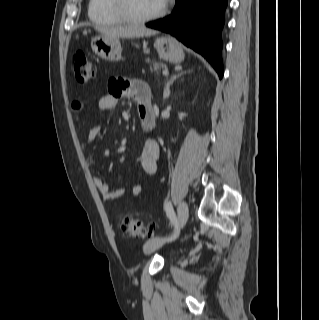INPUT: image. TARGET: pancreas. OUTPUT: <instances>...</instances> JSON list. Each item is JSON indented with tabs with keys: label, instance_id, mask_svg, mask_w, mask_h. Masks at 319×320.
Returning <instances> with one entry per match:
<instances>
[{
	"label": "pancreas",
	"instance_id": "obj_1",
	"mask_svg": "<svg viewBox=\"0 0 319 320\" xmlns=\"http://www.w3.org/2000/svg\"><path fill=\"white\" fill-rule=\"evenodd\" d=\"M146 62L149 64L150 68H153L154 72L157 74H159V70L161 67H165L164 63L157 62L155 59L151 60V59L147 58Z\"/></svg>",
	"mask_w": 319,
	"mask_h": 320
}]
</instances>
